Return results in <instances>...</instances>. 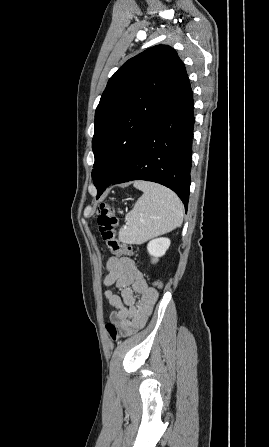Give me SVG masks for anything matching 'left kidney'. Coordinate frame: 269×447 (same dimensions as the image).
<instances>
[{
	"label": "left kidney",
	"instance_id": "1",
	"mask_svg": "<svg viewBox=\"0 0 269 447\" xmlns=\"http://www.w3.org/2000/svg\"><path fill=\"white\" fill-rule=\"evenodd\" d=\"M171 241L169 237H156V239H151L149 243H147L148 253L153 255L152 261H158V257L164 255L166 249H168Z\"/></svg>",
	"mask_w": 269,
	"mask_h": 447
}]
</instances>
